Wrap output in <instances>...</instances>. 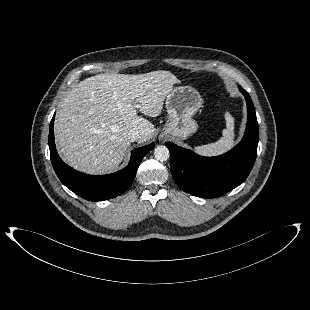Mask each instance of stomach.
I'll use <instances>...</instances> for the list:
<instances>
[{
  "label": "stomach",
  "instance_id": "stomach-1",
  "mask_svg": "<svg viewBox=\"0 0 310 310\" xmlns=\"http://www.w3.org/2000/svg\"><path fill=\"white\" fill-rule=\"evenodd\" d=\"M203 100L199 92L191 86H176L167 95L165 106L169 119L161 136L186 139L197 131V122L193 116L202 107Z\"/></svg>",
  "mask_w": 310,
  "mask_h": 310
}]
</instances>
